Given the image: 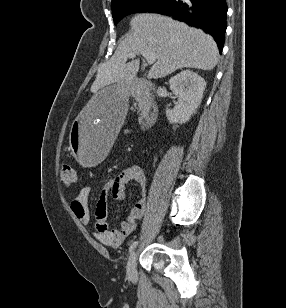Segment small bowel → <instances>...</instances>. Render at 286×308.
Instances as JSON below:
<instances>
[{"instance_id":"obj_1","label":"small bowel","mask_w":286,"mask_h":308,"mask_svg":"<svg viewBox=\"0 0 286 308\" xmlns=\"http://www.w3.org/2000/svg\"><path fill=\"white\" fill-rule=\"evenodd\" d=\"M132 129L125 130V136L133 134ZM130 182H135L141 190V198L132 208L127 220L122 222L119 230H110L105 224L108 215L107 200L110 196L113 201H121L125 197L126 186ZM146 178L143 169L139 165H130L120 174L107 181L100 191L96 204V231L95 237L104 245L118 248L122 245L126 237L131 235L137 228V221L141 220L146 210L144 198ZM90 189L82 187L71 202V209L75 216L84 224L91 223V214L88 206Z\"/></svg>"}]
</instances>
